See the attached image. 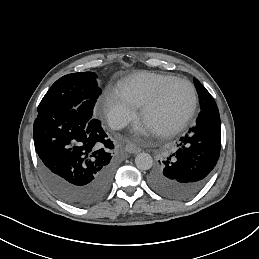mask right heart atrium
<instances>
[{
	"mask_svg": "<svg viewBox=\"0 0 259 259\" xmlns=\"http://www.w3.org/2000/svg\"><path fill=\"white\" fill-rule=\"evenodd\" d=\"M99 111L114 128H122L133 122L141 107L122 88L108 85L100 93Z\"/></svg>",
	"mask_w": 259,
	"mask_h": 259,
	"instance_id": "d8ad5b80",
	"label": "right heart atrium"
}]
</instances>
